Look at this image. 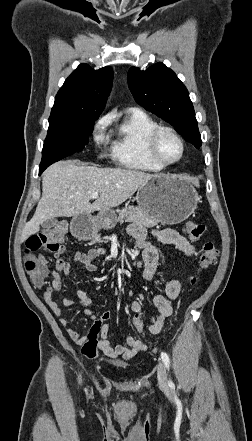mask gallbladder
I'll list each match as a JSON object with an SVG mask.
<instances>
[{"instance_id":"gallbladder-1","label":"gallbladder","mask_w":252,"mask_h":441,"mask_svg":"<svg viewBox=\"0 0 252 441\" xmlns=\"http://www.w3.org/2000/svg\"><path fill=\"white\" fill-rule=\"evenodd\" d=\"M58 224V220L53 218V219H48L46 221H44L41 226L43 229H50L52 227H54L55 225Z\"/></svg>"}]
</instances>
